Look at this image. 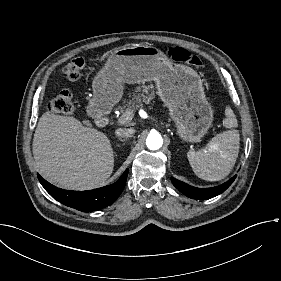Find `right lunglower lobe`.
I'll use <instances>...</instances> for the list:
<instances>
[{
	"label": "right lung lower lobe",
	"mask_w": 281,
	"mask_h": 281,
	"mask_svg": "<svg viewBox=\"0 0 281 281\" xmlns=\"http://www.w3.org/2000/svg\"><path fill=\"white\" fill-rule=\"evenodd\" d=\"M128 169L111 185L88 191H71L51 185L40 175L38 179L45 190L57 201L83 212L100 210L112 204L125 187Z\"/></svg>",
	"instance_id": "98d812e1"
}]
</instances>
